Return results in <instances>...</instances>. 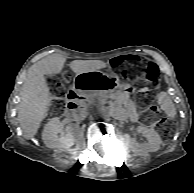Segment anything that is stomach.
Returning <instances> with one entry per match:
<instances>
[{"instance_id": "stomach-1", "label": "stomach", "mask_w": 194, "mask_h": 193, "mask_svg": "<svg viewBox=\"0 0 194 193\" xmlns=\"http://www.w3.org/2000/svg\"><path fill=\"white\" fill-rule=\"evenodd\" d=\"M120 86L129 92L132 91L129 85H121L115 75L105 74L98 70L79 73L73 80V88L80 94H106Z\"/></svg>"}]
</instances>
